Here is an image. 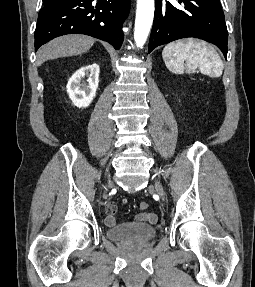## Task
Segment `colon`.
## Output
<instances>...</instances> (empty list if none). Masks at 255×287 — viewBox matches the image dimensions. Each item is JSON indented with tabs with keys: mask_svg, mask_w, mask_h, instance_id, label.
<instances>
[{
	"mask_svg": "<svg viewBox=\"0 0 255 287\" xmlns=\"http://www.w3.org/2000/svg\"><path fill=\"white\" fill-rule=\"evenodd\" d=\"M139 207H140L141 210L146 211V210L149 209V204L147 202H141L139 204Z\"/></svg>",
	"mask_w": 255,
	"mask_h": 287,
	"instance_id": "colon-1",
	"label": "colon"
}]
</instances>
